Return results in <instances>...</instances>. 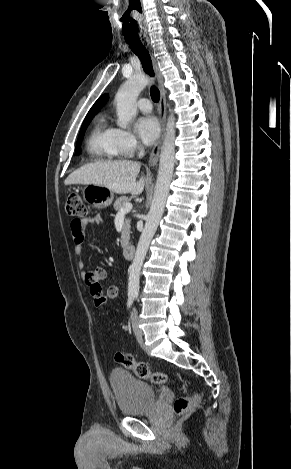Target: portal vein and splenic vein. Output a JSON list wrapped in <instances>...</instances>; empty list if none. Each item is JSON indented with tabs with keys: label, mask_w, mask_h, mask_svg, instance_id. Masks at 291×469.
<instances>
[{
	"label": "portal vein and splenic vein",
	"mask_w": 291,
	"mask_h": 469,
	"mask_svg": "<svg viewBox=\"0 0 291 469\" xmlns=\"http://www.w3.org/2000/svg\"><path fill=\"white\" fill-rule=\"evenodd\" d=\"M132 204L131 203H127L125 204L120 210H119V214H125V213H128L132 210Z\"/></svg>",
	"instance_id": "1"
}]
</instances>
